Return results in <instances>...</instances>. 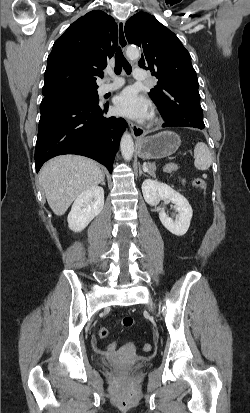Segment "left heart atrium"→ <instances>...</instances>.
I'll use <instances>...</instances> for the list:
<instances>
[{"mask_svg":"<svg viewBox=\"0 0 250 413\" xmlns=\"http://www.w3.org/2000/svg\"><path fill=\"white\" fill-rule=\"evenodd\" d=\"M114 105L117 113L136 120L146 119L150 115L149 102L134 88H127L119 94Z\"/></svg>","mask_w":250,"mask_h":413,"instance_id":"39dd6f15","label":"left heart atrium"}]
</instances>
